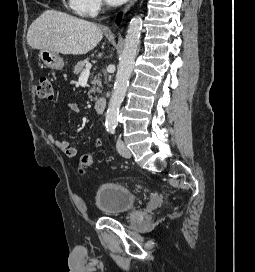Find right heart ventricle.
I'll return each mask as SVG.
<instances>
[{"label": "right heart ventricle", "mask_w": 255, "mask_h": 272, "mask_svg": "<svg viewBox=\"0 0 255 272\" xmlns=\"http://www.w3.org/2000/svg\"><path fill=\"white\" fill-rule=\"evenodd\" d=\"M69 5H70V7H71V0H69Z\"/></svg>", "instance_id": "obj_1"}]
</instances>
